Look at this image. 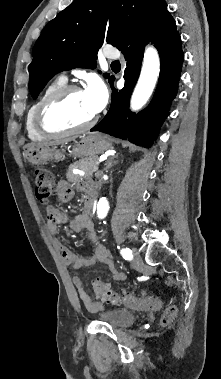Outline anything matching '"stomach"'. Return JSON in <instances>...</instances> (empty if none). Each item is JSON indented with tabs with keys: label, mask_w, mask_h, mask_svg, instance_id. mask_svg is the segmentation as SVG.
I'll return each mask as SVG.
<instances>
[{
	"label": "stomach",
	"mask_w": 221,
	"mask_h": 379,
	"mask_svg": "<svg viewBox=\"0 0 221 379\" xmlns=\"http://www.w3.org/2000/svg\"><path fill=\"white\" fill-rule=\"evenodd\" d=\"M112 144L104 136L98 133L87 134L79 142H75L71 154L77 158H96L99 154L112 149ZM24 156L34 165L47 164L50 161H60L63 151L56 147L28 144L24 147Z\"/></svg>",
	"instance_id": "stomach-1"
}]
</instances>
